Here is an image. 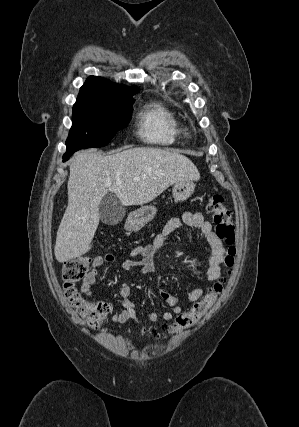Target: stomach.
Segmentation results:
<instances>
[{
  "instance_id": "obj_1",
  "label": "stomach",
  "mask_w": 299,
  "mask_h": 427,
  "mask_svg": "<svg viewBox=\"0 0 299 427\" xmlns=\"http://www.w3.org/2000/svg\"><path fill=\"white\" fill-rule=\"evenodd\" d=\"M195 184L192 180H183L174 183L172 188L173 199L176 203L184 202L194 193ZM157 213L155 206H142L131 212L127 218V226L130 230H138L154 219Z\"/></svg>"
}]
</instances>
